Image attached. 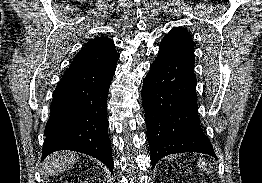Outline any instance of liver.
Returning <instances> with one entry per match:
<instances>
[{
    "mask_svg": "<svg viewBox=\"0 0 262 183\" xmlns=\"http://www.w3.org/2000/svg\"><path fill=\"white\" fill-rule=\"evenodd\" d=\"M76 162V155L73 152H55L44 161L42 174L48 177L62 173L69 170Z\"/></svg>",
    "mask_w": 262,
    "mask_h": 183,
    "instance_id": "liver-1",
    "label": "liver"
}]
</instances>
